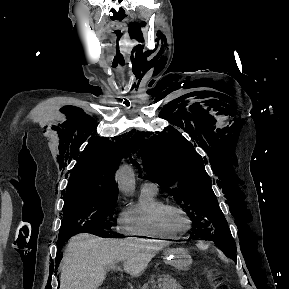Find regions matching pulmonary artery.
<instances>
[{
    "label": "pulmonary artery",
    "mask_w": 289,
    "mask_h": 289,
    "mask_svg": "<svg viewBox=\"0 0 289 289\" xmlns=\"http://www.w3.org/2000/svg\"><path fill=\"white\" fill-rule=\"evenodd\" d=\"M142 190L158 191V186L156 183L152 181H144L142 183Z\"/></svg>",
    "instance_id": "1"
}]
</instances>
